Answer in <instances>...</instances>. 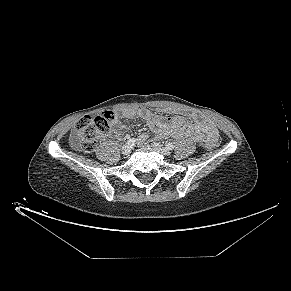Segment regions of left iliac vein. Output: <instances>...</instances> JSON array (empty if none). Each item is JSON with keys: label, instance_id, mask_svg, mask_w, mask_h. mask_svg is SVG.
I'll return each mask as SVG.
<instances>
[{"label": "left iliac vein", "instance_id": "4c4485c4", "mask_svg": "<svg viewBox=\"0 0 291 291\" xmlns=\"http://www.w3.org/2000/svg\"><path fill=\"white\" fill-rule=\"evenodd\" d=\"M152 146L154 147L155 150H157L159 153H161L164 156H169L171 154V151L168 148L163 147L162 145L158 143H153Z\"/></svg>", "mask_w": 291, "mask_h": 291}]
</instances>
